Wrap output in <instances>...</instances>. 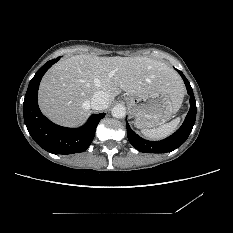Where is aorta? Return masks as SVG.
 <instances>
[{
	"instance_id": "762f6f07",
	"label": "aorta",
	"mask_w": 233,
	"mask_h": 233,
	"mask_svg": "<svg viewBox=\"0 0 233 233\" xmlns=\"http://www.w3.org/2000/svg\"><path fill=\"white\" fill-rule=\"evenodd\" d=\"M111 114L115 118H124L126 115V109L122 105H116L112 108Z\"/></svg>"
}]
</instances>
